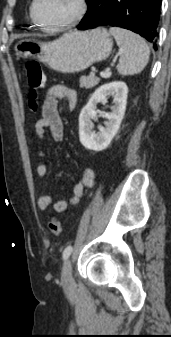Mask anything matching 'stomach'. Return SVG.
<instances>
[{
  "label": "stomach",
  "instance_id": "obj_1",
  "mask_svg": "<svg viewBox=\"0 0 171 337\" xmlns=\"http://www.w3.org/2000/svg\"><path fill=\"white\" fill-rule=\"evenodd\" d=\"M112 47L110 33L105 28H97L69 32L49 43L24 39L15 45V52L23 58L36 57L55 71L74 73L107 59Z\"/></svg>",
  "mask_w": 171,
  "mask_h": 337
}]
</instances>
